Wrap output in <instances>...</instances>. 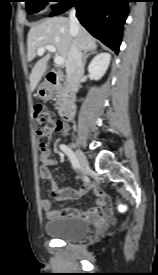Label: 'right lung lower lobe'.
<instances>
[{"mask_svg":"<svg viewBox=\"0 0 158 275\" xmlns=\"http://www.w3.org/2000/svg\"><path fill=\"white\" fill-rule=\"evenodd\" d=\"M129 0H64L50 16L62 14L70 7L77 9L81 24L97 39L118 53L122 27L128 15Z\"/></svg>","mask_w":158,"mask_h":275,"instance_id":"obj_1","label":"right lung lower lobe"}]
</instances>
